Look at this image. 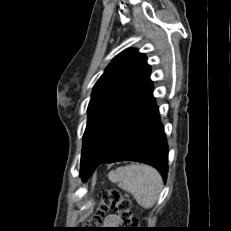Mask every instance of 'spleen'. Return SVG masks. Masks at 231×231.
Wrapping results in <instances>:
<instances>
[{"label":"spleen","instance_id":"obj_1","mask_svg":"<svg viewBox=\"0 0 231 231\" xmlns=\"http://www.w3.org/2000/svg\"><path fill=\"white\" fill-rule=\"evenodd\" d=\"M109 179L131 193L137 203L146 209L154 205L163 186L159 172L144 164L119 167L109 174Z\"/></svg>","mask_w":231,"mask_h":231}]
</instances>
